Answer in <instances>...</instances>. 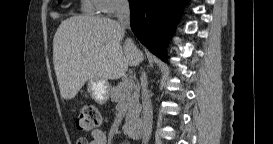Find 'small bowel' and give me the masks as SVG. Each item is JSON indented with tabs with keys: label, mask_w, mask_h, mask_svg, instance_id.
I'll use <instances>...</instances> for the list:
<instances>
[{
	"label": "small bowel",
	"mask_w": 273,
	"mask_h": 144,
	"mask_svg": "<svg viewBox=\"0 0 273 144\" xmlns=\"http://www.w3.org/2000/svg\"><path fill=\"white\" fill-rule=\"evenodd\" d=\"M76 144H107L106 134L101 130L91 132L90 139L86 137L78 138Z\"/></svg>",
	"instance_id": "small-bowel-1"
}]
</instances>
